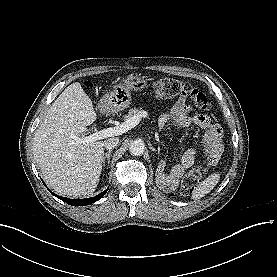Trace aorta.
Returning a JSON list of instances; mask_svg holds the SVG:
<instances>
[{
	"instance_id": "aorta-1",
	"label": "aorta",
	"mask_w": 277,
	"mask_h": 277,
	"mask_svg": "<svg viewBox=\"0 0 277 277\" xmlns=\"http://www.w3.org/2000/svg\"><path fill=\"white\" fill-rule=\"evenodd\" d=\"M145 150V144L142 140H134L131 142L129 152L131 155L140 156Z\"/></svg>"
}]
</instances>
